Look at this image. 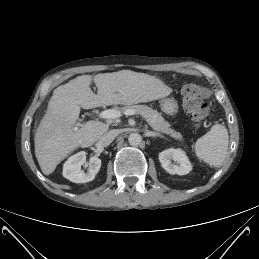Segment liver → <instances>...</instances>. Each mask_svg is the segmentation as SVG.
<instances>
[{
  "label": "liver",
  "instance_id": "obj_1",
  "mask_svg": "<svg viewBox=\"0 0 259 259\" xmlns=\"http://www.w3.org/2000/svg\"><path fill=\"white\" fill-rule=\"evenodd\" d=\"M94 81L98 92L90 88ZM171 92L154 76L130 70L78 76L57 87L35 133V155L41 171L51 174L78 147H88L107 132L109 125L88 121L80 128V110L109 105H132L165 97Z\"/></svg>",
  "mask_w": 259,
  "mask_h": 259
}]
</instances>
